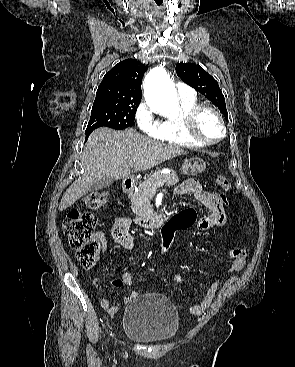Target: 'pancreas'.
Returning a JSON list of instances; mask_svg holds the SVG:
<instances>
[{"mask_svg":"<svg viewBox=\"0 0 295 367\" xmlns=\"http://www.w3.org/2000/svg\"><path fill=\"white\" fill-rule=\"evenodd\" d=\"M165 181L166 186L176 185L179 181L175 173L160 175L153 174L150 178L140 183L137 191L129 193L132 211L140 217L146 216L153 211L150 198L153 195L152 187L155 183Z\"/></svg>","mask_w":295,"mask_h":367,"instance_id":"cf45deb5","label":"pancreas"}]
</instances>
